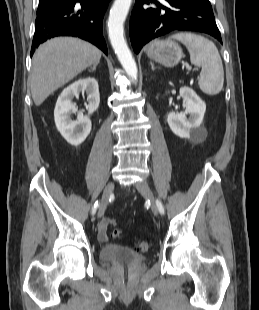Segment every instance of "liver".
I'll use <instances>...</instances> for the list:
<instances>
[{"label":"liver","mask_w":259,"mask_h":310,"mask_svg":"<svg viewBox=\"0 0 259 310\" xmlns=\"http://www.w3.org/2000/svg\"><path fill=\"white\" fill-rule=\"evenodd\" d=\"M102 52L73 37H56L42 44L33 56L31 94L36 106L86 68L100 61Z\"/></svg>","instance_id":"6515ba94"}]
</instances>
